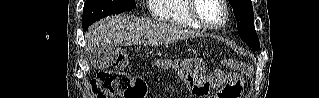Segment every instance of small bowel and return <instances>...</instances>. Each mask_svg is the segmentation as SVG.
I'll list each match as a JSON object with an SVG mask.
<instances>
[{
	"instance_id": "1",
	"label": "small bowel",
	"mask_w": 319,
	"mask_h": 98,
	"mask_svg": "<svg viewBox=\"0 0 319 98\" xmlns=\"http://www.w3.org/2000/svg\"><path fill=\"white\" fill-rule=\"evenodd\" d=\"M222 81H223V78H220V79L214 84V86L219 85Z\"/></svg>"
}]
</instances>
